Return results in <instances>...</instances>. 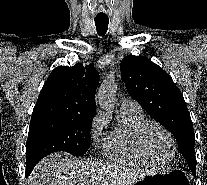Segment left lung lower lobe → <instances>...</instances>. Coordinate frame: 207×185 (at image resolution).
<instances>
[{"instance_id":"1","label":"left lung lower lobe","mask_w":207,"mask_h":185,"mask_svg":"<svg viewBox=\"0 0 207 185\" xmlns=\"http://www.w3.org/2000/svg\"><path fill=\"white\" fill-rule=\"evenodd\" d=\"M192 173L196 174V169L192 171Z\"/></svg>"}]
</instances>
